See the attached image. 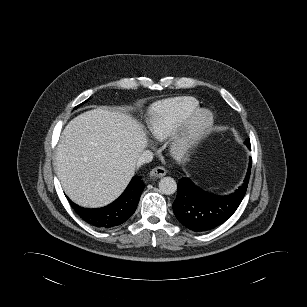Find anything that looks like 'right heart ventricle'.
I'll list each match as a JSON object with an SVG mask.
<instances>
[{
	"instance_id": "right-heart-ventricle-1",
	"label": "right heart ventricle",
	"mask_w": 307,
	"mask_h": 307,
	"mask_svg": "<svg viewBox=\"0 0 307 307\" xmlns=\"http://www.w3.org/2000/svg\"><path fill=\"white\" fill-rule=\"evenodd\" d=\"M198 107L199 102L190 96L173 97L154 103L149 109L148 120L152 136L157 140L169 138Z\"/></svg>"
}]
</instances>
